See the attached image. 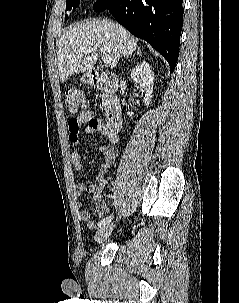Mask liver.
<instances>
[{"label": "liver", "mask_w": 239, "mask_h": 303, "mask_svg": "<svg viewBox=\"0 0 239 303\" xmlns=\"http://www.w3.org/2000/svg\"><path fill=\"white\" fill-rule=\"evenodd\" d=\"M138 40L124 27L108 20H86L70 27L59 39L57 51V73L61 83L74 73L91 70L97 59V50L83 53L88 48H102L115 67L121 56H130ZM91 54V55H89Z\"/></svg>", "instance_id": "6515ba94"}]
</instances>
